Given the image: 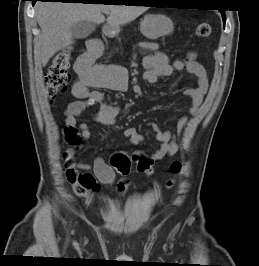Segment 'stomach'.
Here are the masks:
<instances>
[{"label": "stomach", "mask_w": 259, "mask_h": 266, "mask_svg": "<svg viewBox=\"0 0 259 266\" xmlns=\"http://www.w3.org/2000/svg\"><path fill=\"white\" fill-rule=\"evenodd\" d=\"M173 29V22L164 15H147L140 25L141 33L151 40L169 35ZM110 33L118 34L119 28L110 29Z\"/></svg>", "instance_id": "stomach-1"}]
</instances>
